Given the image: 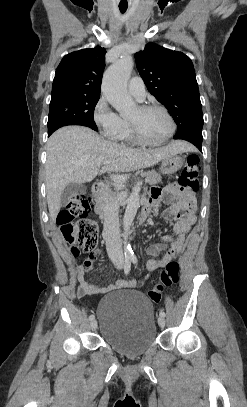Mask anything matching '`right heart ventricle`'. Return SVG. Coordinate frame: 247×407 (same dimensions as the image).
<instances>
[{"instance_id":"right-heart-ventricle-1","label":"right heart ventricle","mask_w":247,"mask_h":407,"mask_svg":"<svg viewBox=\"0 0 247 407\" xmlns=\"http://www.w3.org/2000/svg\"><path fill=\"white\" fill-rule=\"evenodd\" d=\"M118 141H121L123 143H127V144H135L136 141L134 140V138L131 135L130 129H129V125L128 122L124 120V127L121 131V133L119 134V136L117 137Z\"/></svg>"}]
</instances>
